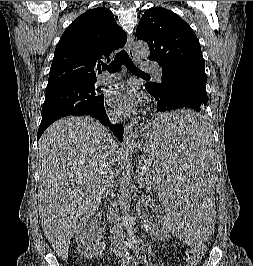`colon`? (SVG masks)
<instances>
[{
  "label": "colon",
  "instance_id": "1",
  "mask_svg": "<svg viewBox=\"0 0 253 266\" xmlns=\"http://www.w3.org/2000/svg\"><path fill=\"white\" fill-rule=\"evenodd\" d=\"M205 251L206 248H192L186 256L187 266H196L200 262Z\"/></svg>",
  "mask_w": 253,
  "mask_h": 266
}]
</instances>
